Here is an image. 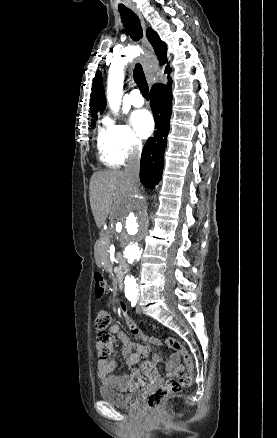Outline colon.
Instances as JSON below:
<instances>
[{
	"label": "colon",
	"instance_id": "colon-1",
	"mask_svg": "<svg viewBox=\"0 0 277 438\" xmlns=\"http://www.w3.org/2000/svg\"><path fill=\"white\" fill-rule=\"evenodd\" d=\"M94 282V298L96 300H100L105 296L106 293V279L101 272H96L94 274ZM109 323V312L103 308L98 309L94 325L102 328L103 330L97 332L96 334V346L98 348V357L100 360L106 359L113 352L114 349V337L109 332L104 331ZM143 341H147L149 343L157 345L165 343L168 347L177 350L186 361H189L190 359L188 352L183 348L182 344L178 340H175L173 338H167L165 339V342H162L160 339L144 336ZM192 381L193 379L190 373L181 375L179 379L164 380L163 386L160 389H150L149 393H145V409H160L161 402H165L166 398H172L173 395L181 392L183 389L190 387Z\"/></svg>",
	"mask_w": 277,
	"mask_h": 438
}]
</instances>
